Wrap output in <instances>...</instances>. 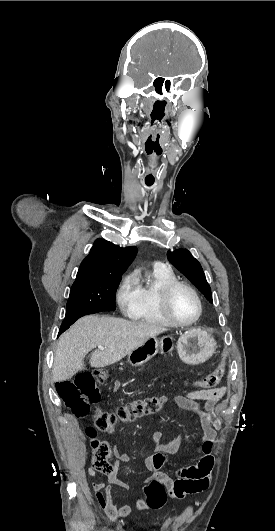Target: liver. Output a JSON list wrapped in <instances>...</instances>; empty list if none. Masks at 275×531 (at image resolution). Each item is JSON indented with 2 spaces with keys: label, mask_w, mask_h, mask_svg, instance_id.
Returning a JSON list of instances; mask_svg holds the SVG:
<instances>
[{
  "label": "liver",
  "mask_w": 275,
  "mask_h": 531,
  "mask_svg": "<svg viewBox=\"0 0 275 531\" xmlns=\"http://www.w3.org/2000/svg\"><path fill=\"white\" fill-rule=\"evenodd\" d=\"M168 329L155 323L125 321L116 317L88 315L76 321L58 341L53 363V381H66L84 369L85 355L92 353L91 367H107L126 357L132 349L142 345L150 337H156Z\"/></svg>",
  "instance_id": "6515ba94"
}]
</instances>
